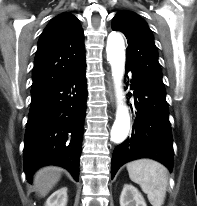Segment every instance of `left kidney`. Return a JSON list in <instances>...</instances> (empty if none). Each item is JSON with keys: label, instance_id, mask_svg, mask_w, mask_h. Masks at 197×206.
Masks as SVG:
<instances>
[{"label": "left kidney", "instance_id": "left-kidney-1", "mask_svg": "<svg viewBox=\"0 0 197 206\" xmlns=\"http://www.w3.org/2000/svg\"><path fill=\"white\" fill-rule=\"evenodd\" d=\"M120 206H147L146 202L133 185L125 184L120 196Z\"/></svg>", "mask_w": 197, "mask_h": 206}]
</instances>
